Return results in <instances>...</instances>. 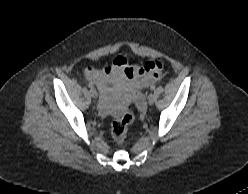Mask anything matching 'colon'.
I'll return each instance as SVG.
<instances>
[{
	"instance_id": "1",
	"label": "colon",
	"mask_w": 248,
	"mask_h": 194,
	"mask_svg": "<svg viewBox=\"0 0 248 194\" xmlns=\"http://www.w3.org/2000/svg\"><path fill=\"white\" fill-rule=\"evenodd\" d=\"M160 63H150V69L161 68ZM135 115L131 108H127L120 118L116 119L111 126V136L117 144H123L126 140L129 125L134 121Z\"/></svg>"
}]
</instances>
